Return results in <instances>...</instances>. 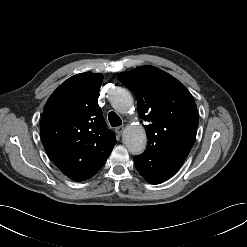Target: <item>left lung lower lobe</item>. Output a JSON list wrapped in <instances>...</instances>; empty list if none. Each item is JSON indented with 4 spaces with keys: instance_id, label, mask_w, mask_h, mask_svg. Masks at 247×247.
Here are the masks:
<instances>
[{
    "instance_id": "left-lung-lower-lobe-1",
    "label": "left lung lower lobe",
    "mask_w": 247,
    "mask_h": 247,
    "mask_svg": "<svg viewBox=\"0 0 247 247\" xmlns=\"http://www.w3.org/2000/svg\"><path fill=\"white\" fill-rule=\"evenodd\" d=\"M188 154V151L181 148L146 150L134 157V163L141 176L149 183L160 184L179 170Z\"/></svg>"
}]
</instances>
